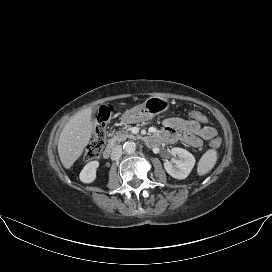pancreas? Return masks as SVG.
Wrapping results in <instances>:
<instances>
[{
  "instance_id": "pancreas-1",
  "label": "pancreas",
  "mask_w": 272,
  "mask_h": 272,
  "mask_svg": "<svg viewBox=\"0 0 272 272\" xmlns=\"http://www.w3.org/2000/svg\"><path fill=\"white\" fill-rule=\"evenodd\" d=\"M127 138L133 139L135 138V136L127 131L121 130L113 134V137L110 139V142L111 143L122 142Z\"/></svg>"
}]
</instances>
